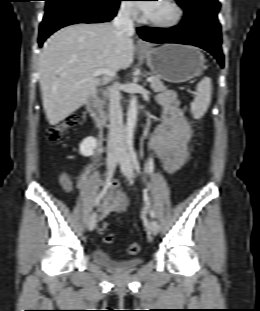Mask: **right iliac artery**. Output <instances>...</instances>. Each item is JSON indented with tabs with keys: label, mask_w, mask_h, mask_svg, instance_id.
<instances>
[{
	"label": "right iliac artery",
	"mask_w": 260,
	"mask_h": 311,
	"mask_svg": "<svg viewBox=\"0 0 260 311\" xmlns=\"http://www.w3.org/2000/svg\"><path fill=\"white\" fill-rule=\"evenodd\" d=\"M115 167H116V165L114 164L113 167L111 168V170L109 171L108 176L106 178V182H105L102 190L99 192L98 196L95 199V206H98L100 204L101 200L105 197L108 189L110 188L111 178L113 176V172H114Z\"/></svg>",
	"instance_id": "obj_1"
}]
</instances>
